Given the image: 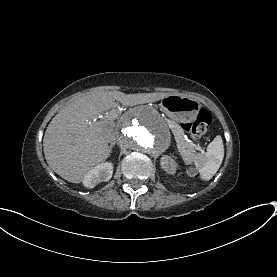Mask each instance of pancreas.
<instances>
[{
  "label": "pancreas",
  "instance_id": "1",
  "mask_svg": "<svg viewBox=\"0 0 277 277\" xmlns=\"http://www.w3.org/2000/svg\"><path fill=\"white\" fill-rule=\"evenodd\" d=\"M172 137L176 140V147L181 148V157L183 159H190L192 157V147L188 145L186 132L182 130L181 126H173Z\"/></svg>",
  "mask_w": 277,
  "mask_h": 277
}]
</instances>
